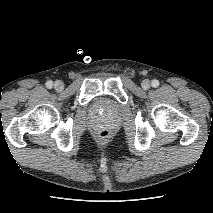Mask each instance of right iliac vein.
Wrapping results in <instances>:
<instances>
[{
    "label": "right iliac vein",
    "mask_w": 213,
    "mask_h": 213,
    "mask_svg": "<svg viewBox=\"0 0 213 213\" xmlns=\"http://www.w3.org/2000/svg\"><path fill=\"white\" fill-rule=\"evenodd\" d=\"M54 88L56 91H62L64 89V83L61 80H57L54 83Z\"/></svg>",
    "instance_id": "right-iliac-vein-1"
}]
</instances>
